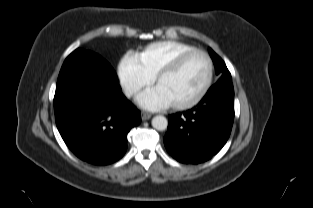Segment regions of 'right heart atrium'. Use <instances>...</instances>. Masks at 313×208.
Here are the masks:
<instances>
[{
	"label": "right heart atrium",
	"mask_w": 313,
	"mask_h": 208,
	"mask_svg": "<svg viewBox=\"0 0 313 208\" xmlns=\"http://www.w3.org/2000/svg\"><path fill=\"white\" fill-rule=\"evenodd\" d=\"M119 78L125 94L134 97L153 82V76L144 70L135 56H127L119 65Z\"/></svg>",
	"instance_id": "1"
}]
</instances>
